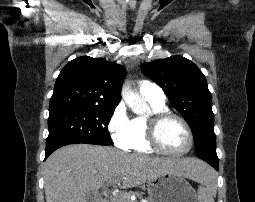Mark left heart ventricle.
I'll return each mask as SVG.
<instances>
[{
  "instance_id": "obj_1",
  "label": "left heart ventricle",
  "mask_w": 255,
  "mask_h": 202,
  "mask_svg": "<svg viewBox=\"0 0 255 202\" xmlns=\"http://www.w3.org/2000/svg\"><path fill=\"white\" fill-rule=\"evenodd\" d=\"M159 141L166 150L180 152L186 149L189 139L184 126L175 119H169L159 129Z\"/></svg>"
}]
</instances>
